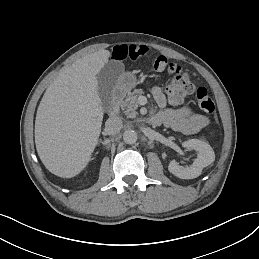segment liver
Listing matches in <instances>:
<instances>
[{
	"label": "liver",
	"instance_id": "liver-1",
	"mask_svg": "<svg viewBox=\"0 0 259 259\" xmlns=\"http://www.w3.org/2000/svg\"><path fill=\"white\" fill-rule=\"evenodd\" d=\"M111 52L87 53L60 72L46 89L37 109L35 145L52 174L71 179L89 165L102 132L98 95L99 71Z\"/></svg>",
	"mask_w": 259,
	"mask_h": 259
}]
</instances>
